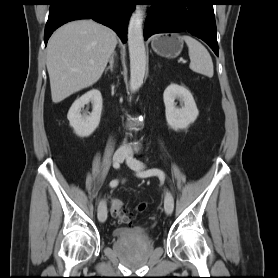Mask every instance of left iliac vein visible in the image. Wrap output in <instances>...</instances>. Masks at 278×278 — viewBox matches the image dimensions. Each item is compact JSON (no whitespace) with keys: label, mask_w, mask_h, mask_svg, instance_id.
Returning a JSON list of instances; mask_svg holds the SVG:
<instances>
[{"label":"left iliac vein","mask_w":278,"mask_h":278,"mask_svg":"<svg viewBox=\"0 0 278 278\" xmlns=\"http://www.w3.org/2000/svg\"><path fill=\"white\" fill-rule=\"evenodd\" d=\"M126 164L133 170L137 172H143L144 170V164L133 158L132 156H128L126 158ZM164 208L167 215H170L173 212L174 209V199L170 193V191H166L165 193V199H164Z\"/></svg>","instance_id":"1"}]
</instances>
